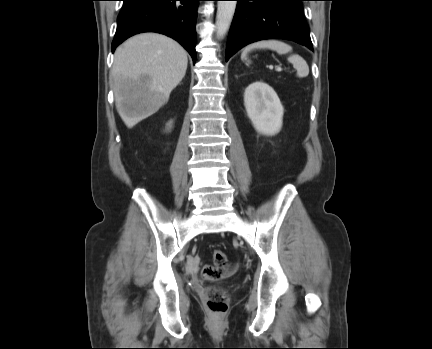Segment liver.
I'll list each match as a JSON object with an SVG mask.
<instances>
[{"instance_id": "liver-1", "label": "liver", "mask_w": 432, "mask_h": 349, "mask_svg": "<svg viewBox=\"0 0 432 349\" xmlns=\"http://www.w3.org/2000/svg\"><path fill=\"white\" fill-rule=\"evenodd\" d=\"M187 64L184 48L157 33L135 35L116 49L112 66L114 98L129 128L168 102L171 91L185 76Z\"/></svg>"}]
</instances>
